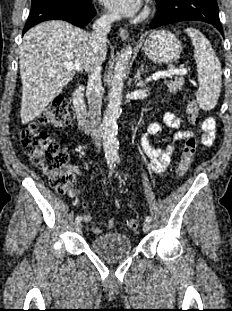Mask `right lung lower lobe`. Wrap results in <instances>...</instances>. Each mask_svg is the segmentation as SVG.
<instances>
[{
  "label": "right lung lower lobe",
  "mask_w": 232,
  "mask_h": 311,
  "mask_svg": "<svg viewBox=\"0 0 232 311\" xmlns=\"http://www.w3.org/2000/svg\"><path fill=\"white\" fill-rule=\"evenodd\" d=\"M95 14L91 3L81 5L70 0H40L31 5L23 34L34 25L47 20H65L81 27L88 24Z\"/></svg>",
  "instance_id": "obj_1"
}]
</instances>
